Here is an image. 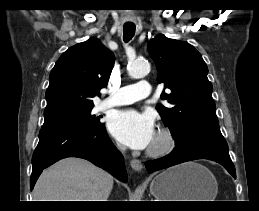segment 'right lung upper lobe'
<instances>
[{"instance_id":"obj_1","label":"right lung upper lobe","mask_w":259,"mask_h":211,"mask_svg":"<svg viewBox=\"0 0 259 211\" xmlns=\"http://www.w3.org/2000/svg\"><path fill=\"white\" fill-rule=\"evenodd\" d=\"M113 64V53L94 37L64 52L49 76L44 124L91 110L92 98L107 85Z\"/></svg>"}]
</instances>
